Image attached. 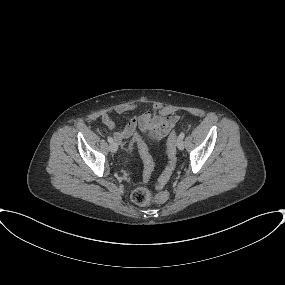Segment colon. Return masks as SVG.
<instances>
[{"label": "colon", "mask_w": 285, "mask_h": 285, "mask_svg": "<svg viewBox=\"0 0 285 285\" xmlns=\"http://www.w3.org/2000/svg\"><path fill=\"white\" fill-rule=\"evenodd\" d=\"M175 141H176V135L171 134L167 140V155L169 158V163L158 181L157 184L158 188H162L169 181V179L173 174L176 162L175 148H174ZM135 143L136 142H133L131 144L130 149H133ZM141 154L144 161V177L145 179H148L151 176L152 171L154 169V161L148 149L142 145H141ZM131 198L133 202L138 205H147L151 202L162 205L167 200V194L163 192L152 194V192L148 188L139 187L133 191Z\"/></svg>", "instance_id": "5ec220e1"}]
</instances>
